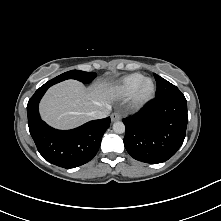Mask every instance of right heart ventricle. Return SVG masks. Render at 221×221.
<instances>
[{
    "label": "right heart ventricle",
    "mask_w": 221,
    "mask_h": 221,
    "mask_svg": "<svg viewBox=\"0 0 221 221\" xmlns=\"http://www.w3.org/2000/svg\"><path fill=\"white\" fill-rule=\"evenodd\" d=\"M144 79L140 73H132L121 78L114 87V91L123 97L132 95L137 85Z\"/></svg>",
    "instance_id": "e07e8e85"
}]
</instances>
